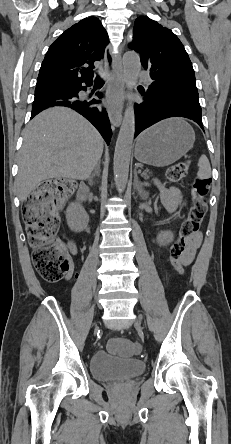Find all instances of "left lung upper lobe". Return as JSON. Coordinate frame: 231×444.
<instances>
[{
    "label": "left lung upper lobe",
    "mask_w": 231,
    "mask_h": 444,
    "mask_svg": "<svg viewBox=\"0 0 231 444\" xmlns=\"http://www.w3.org/2000/svg\"><path fill=\"white\" fill-rule=\"evenodd\" d=\"M129 48L140 54L141 64L150 72L156 87L185 96L198 97L195 73L178 37L148 17L135 20Z\"/></svg>",
    "instance_id": "left-lung-upper-lobe-1"
}]
</instances>
